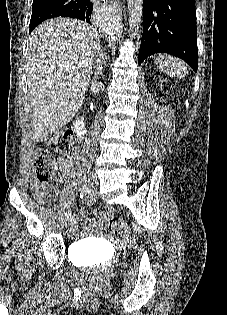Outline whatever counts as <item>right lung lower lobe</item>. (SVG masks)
Returning a JSON list of instances; mask_svg holds the SVG:
<instances>
[{"mask_svg": "<svg viewBox=\"0 0 227 315\" xmlns=\"http://www.w3.org/2000/svg\"><path fill=\"white\" fill-rule=\"evenodd\" d=\"M93 4L89 0H79L65 8L61 17L77 18L90 23Z\"/></svg>", "mask_w": 227, "mask_h": 315, "instance_id": "right-lung-lower-lobe-1", "label": "right lung lower lobe"}]
</instances>
